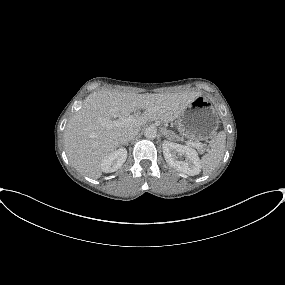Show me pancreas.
<instances>
[{
    "label": "pancreas",
    "instance_id": "obj_1",
    "mask_svg": "<svg viewBox=\"0 0 285 285\" xmlns=\"http://www.w3.org/2000/svg\"><path fill=\"white\" fill-rule=\"evenodd\" d=\"M203 145L199 146L198 149L202 150Z\"/></svg>",
    "mask_w": 285,
    "mask_h": 285
}]
</instances>
